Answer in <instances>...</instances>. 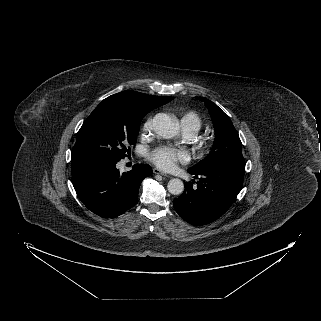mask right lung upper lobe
<instances>
[{
	"label": "right lung upper lobe",
	"mask_w": 321,
	"mask_h": 321,
	"mask_svg": "<svg viewBox=\"0 0 321 321\" xmlns=\"http://www.w3.org/2000/svg\"><path fill=\"white\" fill-rule=\"evenodd\" d=\"M109 98L124 100L128 102L134 109L144 112H150L151 110L160 107L173 99V97L153 96L130 90L111 95Z\"/></svg>",
	"instance_id": "right-lung-upper-lobe-1"
}]
</instances>
